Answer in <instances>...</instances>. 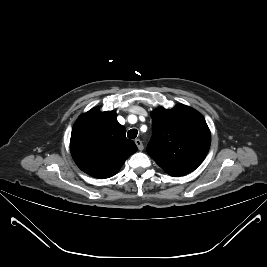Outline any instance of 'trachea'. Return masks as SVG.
Instances as JSON below:
<instances>
[{"instance_id": "trachea-1", "label": "trachea", "mask_w": 267, "mask_h": 267, "mask_svg": "<svg viewBox=\"0 0 267 267\" xmlns=\"http://www.w3.org/2000/svg\"><path fill=\"white\" fill-rule=\"evenodd\" d=\"M138 131L137 129H130L127 133L128 138L135 139L137 137Z\"/></svg>"}]
</instances>
